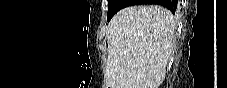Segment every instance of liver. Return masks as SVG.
<instances>
[{
    "instance_id": "obj_1",
    "label": "liver",
    "mask_w": 227,
    "mask_h": 88,
    "mask_svg": "<svg viewBox=\"0 0 227 88\" xmlns=\"http://www.w3.org/2000/svg\"><path fill=\"white\" fill-rule=\"evenodd\" d=\"M173 14L160 5L120 10L107 30L108 88H159L174 46Z\"/></svg>"
}]
</instances>
